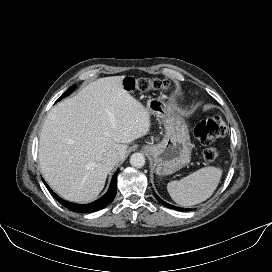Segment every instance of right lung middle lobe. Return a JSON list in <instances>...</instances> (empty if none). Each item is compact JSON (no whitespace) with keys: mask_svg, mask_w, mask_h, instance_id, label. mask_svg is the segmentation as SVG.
<instances>
[{"mask_svg":"<svg viewBox=\"0 0 272 272\" xmlns=\"http://www.w3.org/2000/svg\"><path fill=\"white\" fill-rule=\"evenodd\" d=\"M75 87L76 85H73L72 87H70L57 101H60L63 97L69 95L74 90Z\"/></svg>","mask_w":272,"mask_h":272,"instance_id":"right-lung-middle-lobe-1","label":"right lung middle lobe"}]
</instances>
